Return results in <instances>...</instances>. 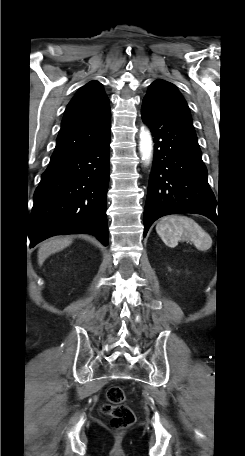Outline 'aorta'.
Here are the masks:
<instances>
[{"label":"aorta","mask_w":245,"mask_h":456,"mask_svg":"<svg viewBox=\"0 0 245 456\" xmlns=\"http://www.w3.org/2000/svg\"><path fill=\"white\" fill-rule=\"evenodd\" d=\"M153 149L151 134L148 129L142 127L140 131L139 150L142 160L148 162Z\"/></svg>","instance_id":"1"}]
</instances>
